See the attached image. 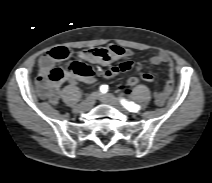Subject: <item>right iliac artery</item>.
<instances>
[{
  "label": "right iliac artery",
  "instance_id": "1",
  "mask_svg": "<svg viewBox=\"0 0 212 183\" xmlns=\"http://www.w3.org/2000/svg\"><path fill=\"white\" fill-rule=\"evenodd\" d=\"M107 91H108V86H107V85H102V86L100 87V92H101L102 94L106 93Z\"/></svg>",
  "mask_w": 212,
  "mask_h": 183
}]
</instances>
